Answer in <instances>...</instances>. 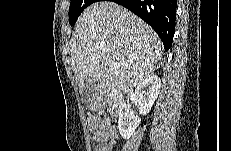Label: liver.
Instances as JSON below:
<instances>
[{
  "label": "liver",
  "mask_w": 231,
  "mask_h": 151,
  "mask_svg": "<svg viewBox=\"0 0 231 151\" xmlns=\"http://www.w3.org/2000/svg\"><path fill=\"white\" fill-rule=\"evenodd\" d=\"M163 50L160 38L143 20L115 2L100 1L86 8L76 23L71 65L80 88L91 77L122 94L153 75Z\"/></svg>",
  "instance_id": "6515ba94"
}]
</instances>
